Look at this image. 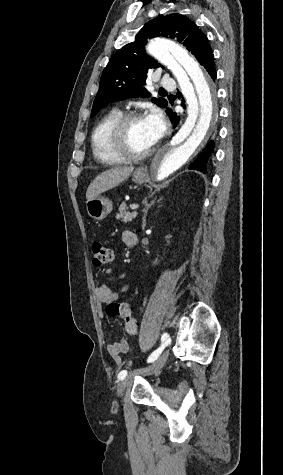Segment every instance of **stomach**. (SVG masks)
<instances>
[{"mask_svg":"<svg viewBox=\"0 0 283 475\" xmlns=\"http://www.w3.org/2000/svg\"><path fill=\"white\" fill-rule=\"evenodd\" d=\"M148 180L149 174L146 168H137V170L133 172L132 182H135V184H145ZM86 208L90 218H94V220H103V218H106L113 210L112 202H110L108 198H103V196L88 200V202H86Z\"/></svg>","mask_w":283,"mask_h":475,"instance_id":"stomach-1","label":"stomach"}]
</instances>
